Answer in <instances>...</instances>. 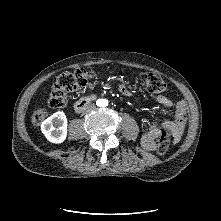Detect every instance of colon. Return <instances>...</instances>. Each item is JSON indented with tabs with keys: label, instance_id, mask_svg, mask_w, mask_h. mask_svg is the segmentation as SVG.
Segmentation results:
<instances>
[{
	"label": "colon",
	"instance_id": "obj_1",
	"mask_svg": "<svg viewBox=\"0 0 221 221\" xmlns=\"http://www.w3.org/2000/svg\"><path fill=\"white\" fill-rule=\"evenodd\" d=\"M95 78L91 70L77 69L73 72H64L58 76L52 86L49 105L53 109H61L67 104V94L87 87ZM142 84L150 93H163L167 89V84L162 77L154 73H145L141 77ZM47 117V111L37 109L32 114V122L39 125ZM177 140L171 129L162 130L158 142V152L165 154L169 147Z\"/></svg>",
	"mask_w": 221,
	"mask_h": 221
}]
</instances>
